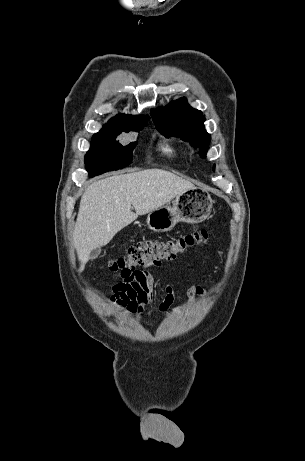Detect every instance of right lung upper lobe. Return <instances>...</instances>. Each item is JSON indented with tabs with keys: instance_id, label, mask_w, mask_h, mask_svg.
I'll return each mask as SVG.
<instances>
[{
	"instance_id": "right-lung-upper-lobe-1",
	"label": "right lung upper lobe",
	"mask_w": 305,
	"mask_h": 461,
	"mask_svg": "<svg viewBox=\"0 0 305 461\" xmlns=\"http://www.w3.org/2000/svg\"><path fill=\"white\" fill-rule=\"evenodd\" d=\"M148 119H149V116H145V115H139V116L134 117L132 115L119 114L116 117L112 118L108 124H116V125L128 127L135 123L147 121Z\"/></svg>"
}]
</instances>
